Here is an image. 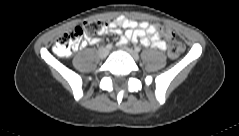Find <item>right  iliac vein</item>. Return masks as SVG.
I'll return each instance as SVG.
<instances>
[{
	"label": "right iliac vein",
	"mask_w": 239,
	"mask_h": 136,
	"mask_svg": "<svg viewBox=\"0 0 239 136\" xmlns=\"http://www.w3.org/2000/svg\"><path fill=\"white\" fill-rule=\"evenodd\" d=\"M109 51L107 48H104V47H101L99 50H98V56L99 58L101 59H105L108 55Z\"/></svg>",
	"instance_id": "obj_1"
}]
</instances>
